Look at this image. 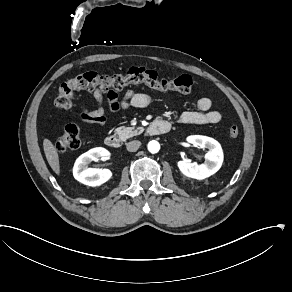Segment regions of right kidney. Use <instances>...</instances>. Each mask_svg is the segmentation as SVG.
Instances as JSON below:
<instances>
[{"mask_svg": "<svg viewBox=\"0 0 292 292\" xmlns=\"http://www.w3.org/2000/svg\"><path fill=\"white\" fill-rule=\"evenodd\" d=\"M108 155V151L104 148H93L82 154L75 162L73 168L74 178L88 186H100L110 180L113 173L109 169H96L87 165L92 161H102L104 156Z\"/></svg>", "mask_w": 292, "mask_h": 292, "instance_id": "1", "label": "right kidney"}]
</instances>
